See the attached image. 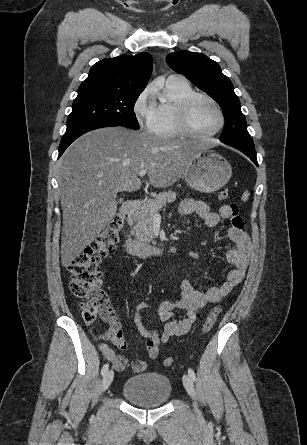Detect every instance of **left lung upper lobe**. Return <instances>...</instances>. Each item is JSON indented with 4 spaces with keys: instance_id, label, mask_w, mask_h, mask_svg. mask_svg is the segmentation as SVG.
<instances>
[{
    "instance_id": "left-lung-upper-lobe-1",
    "label": "left lung upper lobe",
    "mask_w": 307,
    "mask_h": 445,
    "mask_svg": "<svg viewBox=\"0 0 307 445\" xmlns=\"http://www.w3.org/2000/svg\"><path fill=\"white\" fill-rule=\"evenodd\" d=\"M167 64L176 72L185 75L194 85L210 95L222 108L225 126L220 141L251 144L245 116L239 98L234 93L230 79L225 76L217 62L202 53L179 51L166 57Z\"/></svg>"
}]
</instances>
